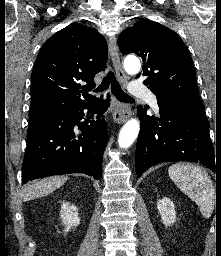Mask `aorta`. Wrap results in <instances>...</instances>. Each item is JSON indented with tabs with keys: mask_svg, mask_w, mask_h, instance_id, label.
<instances>
[{
	"mask_svg": "<svg viewBox=\"0 0 221 256\" xmlns=\"http://www.w3.org/2000/svg\"><path fill=\"white\" fill-rule=\"evenodd\" d=\"M141 67L138 59H129L124 62L125 70L130 74H136ZM140 130V123L137 119H130L125 123L119 133L118 144L120 148H129L137 138Z\"/></svg>",
	"mask_w": 221,
	"mask_h": 256,
	"instance_id": "1",
	"label": "aorta"
}]
</instances>
